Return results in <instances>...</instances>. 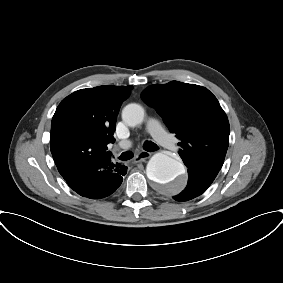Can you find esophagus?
I'll list each match as a JSON object with an SVG mask.
<instances>
[{
    "mask_svg": "<svg viewBox=\"0 0 283 283\" xmlns=\"http://www.w3.org/2000/svg\"><path fill=\"white\" fill-rule=\"evenodd\" d=\"M151 153L147 152V151H141L139 152L135 158L133 159L134 163H139V162H144L146 161L148 158H150Z\"/></svg>",
    "mask_w": 283,
    "mask_h": 283,
    "instance_id": "obj_1",
    "label": "esophagus"
}]
</instances>
